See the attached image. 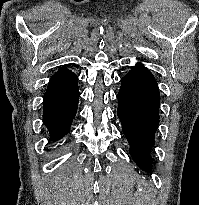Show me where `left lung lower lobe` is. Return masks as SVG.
Here are the masks:
<instances>
[{"mask_svg":"<svg viewBox=\"0 0 199 205\" xmlns=\"http://www.w3.org/2000/svg\"><path fill=\"white\" fill-rule=\"evenodd\" d=\"M117 99V115L130 144V154L140 168L149 172L160 106L159 88L152 73L137 63L121 79Z\"/></svg>","mask_w":199,"mask_h":205,"instance_id":"0a47b994","label":"left lung lower lobe"}]
</instances>
